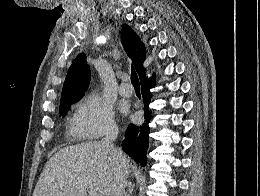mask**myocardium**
Returning <instances> with one entry per match:
<instances>
[{"label":"myocardium","instance_id":"f54148a6","mask_svg":"<svg viewBox=\"0 0 260 196\" xmlns=\"http://www.w3.org/2000/svg\"><path fill=\"white\" fill-rule=\"evenodd\" d=\"M50 192H55V190H50Z\"/></svg>","mask_w":260,"mask_h":196}]
</instances>
